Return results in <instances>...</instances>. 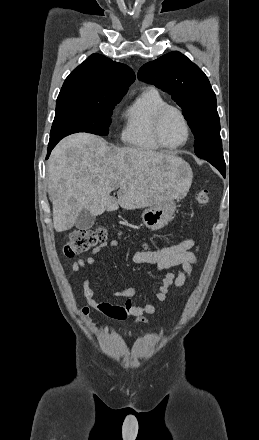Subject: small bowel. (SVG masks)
<instances>
[{
	"mask_svg": "<svg viewBox=\"0 0 259 440\" xmlns=\"http://www.w3.org/2000/svg\"><path fill=\"white\" fill-rule=\"evenodd\" d=\"M117 240L104 242L98 245L93 252L69 265V270L74 273L81 272L86 267H91L95 263V255L103 248L110 246H118ZM198 246L191 237L186 238L179 243L171 246L163 247L152 251H137L133 255V261L137 264L150 265L154 267L156 272L167 271L162 280L155 297L156 304H146L137 306L132 302V298L139 295V292L131 287L117 290L113 293L116 297L127 298L123 305H115L105 301H97L94 298V291L90 287L89 279H85L82 283L83 295L87 300V306L81 308L83 317H87L90 308L117 320H125L130 316L137 318L139 322H145V315L154 314L158 308L165 302L170 286L183 288L187 281L192 277L193 267L197 263L196 252ZM179 267L175 273L173 268Z\"/></svg>",
	"mask_w": 259,
	"mask_h": 440,
	"instance_id": "1",
	"label": "small bowel"
}]
</instances>
